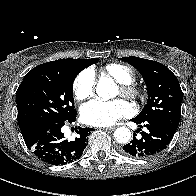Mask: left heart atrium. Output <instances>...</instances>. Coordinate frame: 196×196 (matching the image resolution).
Returning a JSON list of instances; mask_svg holds the SVG:
<instances>
[{
	"instance_id": "left-heart-atrium-1",
	"label": "left heart atrium",
	"mask_w": 196,
	"mask_h": 196,
	"mask_svg": "<svg viewBox=\"0 0 196 196\" xmlns=\"http://www.w3.org/2000/svg\"><path fill=\"white\" fill-rule=\"evenodd\" d=\"M132 113V107L124 100H92L81 107L80 115L84 123L104 127Z\"/></svg>"
}]
</instances>
